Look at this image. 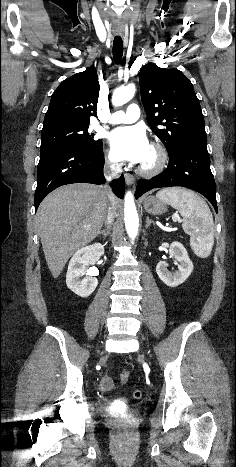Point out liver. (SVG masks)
Returning a JSON list of instances; mask_svg holds the SVG:
<instances>
[{
    "label": "liver",
    "mask_w": 236,
    "mask_h": 467,
    "mask_svg": "<svg viewBox=\"0 0 236 467\" xmlns=\"http://www.w3.org/2000/svg\"><path fill=\"white\" fill-rule=\"evenodd\" d=\"M100 186L76 183L61 186L41 202L36 223L49 270L57 278L68 259L99 234L108 206L118 207Z\"/></svg>",
    "instance_id": "liver-1"
}]
</instances>
